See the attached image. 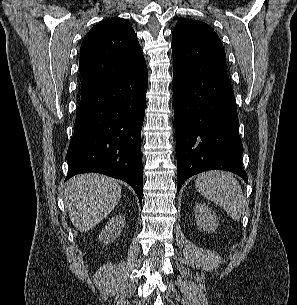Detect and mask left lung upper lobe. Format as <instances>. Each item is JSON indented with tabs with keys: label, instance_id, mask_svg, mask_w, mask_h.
Returning a JSON list of instances; mask_svg holds the SVG:
<instances>
[{
	"label": "left lung upper lobe",
	"instance_id": "1",
	"mask_svg": "<svg viewBox=\"0 0 297 305\" xmlns=\"http://www.w3.org/2000/svg\"><path fill=\"white\" fill-rule=\"evenodd\" d=\"M173 62L195 75L227 73L221 40L206 23L182 19L172 32Z\"/></svg>",
	"mask_w": 297,
	"mask_h": 305
}]
</instances>
